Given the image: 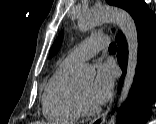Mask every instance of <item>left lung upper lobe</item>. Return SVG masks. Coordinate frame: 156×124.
Segmentation results:
<instances>
[{
	"mask_svg": "<svg viewBox=\"0 0 156 124\" xmlns=\"http://www.w3.org/2000/svg\"><path fill=\"white\" fill-rule=\"evenodd\" d=\"M108 4L120 7L133 17L143 0H106ZM63 33H61L50 49V58L58 51L61 46Z\"/></svg>",
	"mask_w": 156,
	"mask_h": 124,
	"instance_id": "1",
	"label": "left lung upper lobe"
}]
</instances>
